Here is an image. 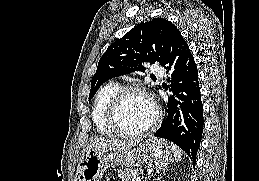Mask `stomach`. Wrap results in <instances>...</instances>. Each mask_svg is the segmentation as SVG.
Instances as JSON below:
<instances>
[{"label": "stomach", "mask_w": 259, "mask_h": 181, "mask_svg": "<svg viewBox=\"0 0 259 181\" xmlns=\"http://www.w3.org/2000/svg\"><path fill=\"white\" fill-rule=\"evenodd\" d=\"M173 161L172 149L163 139L149 138L135 149L90 150L80 160L75 181H100L110 166L131 167L144 164L148 168H165Z\"/></svg>", "instance_id": "stomach-1"}]
</instances>
